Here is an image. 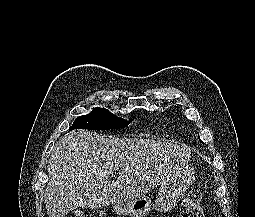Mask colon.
Listing matches in <instances>:
<instances>
[{
  "label": "colon",
  "instance_id": "1",
  "mask_svg": "<svg viewBox=\"0 0 255 217\" xmlns=\"http://www.w3.org/2000/svg\"><path fill=\"white\" fill-rule=\"evenodd\" d=\"M202 195L198 189H192L184 200V211L181 217H204L201 206Z\"/></svg>",
  "mask_w": 255,
  "mask_h": 217
}]
</instances>
